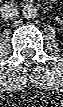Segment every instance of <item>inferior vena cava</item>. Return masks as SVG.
<instances>
[{"instance_id":"1","label":"inferior vena cava","mask_w":63,"mask_h":107,"mask_svg":"<svg viewBox=\"0 0 63 107\" xmlns=\"http://www.w3.org/2000/svg\"><path fill=\"white\" fill-rule=\"evenodd\" d=\"M1 16L4 19H13L17 16L18 8L13 4H5L1 7Z\"/></svg>"}]
</instances>
